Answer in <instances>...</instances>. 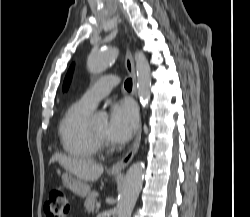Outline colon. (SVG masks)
<instances>
[{
	"mask_svg": "<svg viewBox=\"0 0 250 217\" xmlns=\"http://www.w3.org/2000/svg\"><path fill=\"white\" fill-rule=\"evenodd\" d=\"M70 204L64 190L53 189L44 205L45 217H69Z\"/></svg>",
	"mask_w": 250,
	"mask_h": 217,
	"instance_id": "5ec220e1",
	"label": "colon"
}]
</instances>
